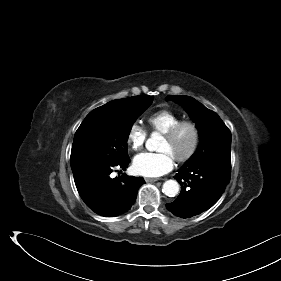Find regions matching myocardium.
I'll list each match as a JSON object with an SVG mask.
<instances>
[{
    "mask_svg": "<svg viewBox=\"0 0 281 281\" xmlns=\"http://www.w3.org/2000/svg\"><path fill=\"white\" fill-rule=\"evenodd\" d=\"M183 128H189L192 131L193 142L190 149L184 155L175 158V160L179 163L190 160L196 154L199 148L201 136L197 124L190 120H181L163 134L164 138L173 140Z\"/></svg>",
    "mask_w": 281,
    "mask_h": 281,
    "instance_id": "myocardium-1",
    "label": "myocardium"
}]
</instances>
